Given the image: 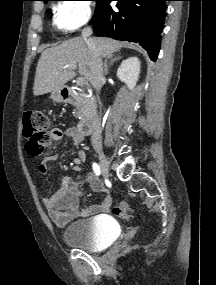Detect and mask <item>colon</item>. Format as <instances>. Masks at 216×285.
<instances>
[{
  "mask_svg": "<svg viewBox=\"0 0 216 285\" xmlns=\"http://www.w3.org/2000/svg\"><path fill=\"white\" fill-rule=\"evenodd\" d=\"M48 117L41 111L33 110L24 113L23 135L27 139V151L31 156L39 155L48 141ZM113 214L123 220H129L132 205L122 201L113 208Z\"/></svg>",
  "mask_w": 216,
  "mask_h": 285,
  "instance_id": "obj_1",
  "label": "colon"
}]
</instances>
